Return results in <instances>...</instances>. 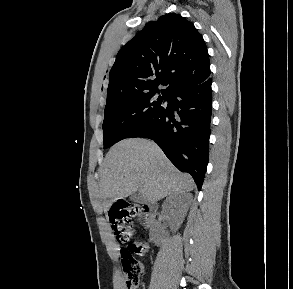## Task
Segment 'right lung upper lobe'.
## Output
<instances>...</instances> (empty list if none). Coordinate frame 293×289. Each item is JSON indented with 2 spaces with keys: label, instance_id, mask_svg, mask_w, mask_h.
I'll use <instances>...</instances> for the list:
<instances>
[{
  "label": "right lung upper lobe",
  "instance_id": "obj_1",
  "mask_svg": "<svg viewBox=\"0 0 293 289\" xmlns=\"http://www.w3.org/2000/svg\"><path fill=\"white\" fill-rule=\"evenodd\" d=\"M206 44L193 23L169 13L148 23L117 54L110 70L107 103L149 92L166 96L210 76Z\"/></svg>",
  "mask_w": 293,
  "mask_h": 289
}]
</instances>
